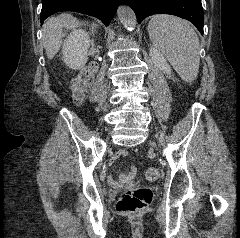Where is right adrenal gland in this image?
I'll use <instances>...</instances> for the list:
<instances>
[{
	"mask_svg": "<svg viewBox=\"0 0 240 238\" xmlns=\"http://www.w3.org/2000/svg\"><path fill=\"white\" fill-rule=\"evenodd\" d=\"M96 27H97L96 25H94V24L92 25V29H95Z\"/></svg>",
	"mask_w": 240,
	"mask_h": 238,
	"instance_id": "1",
	"label": "right adrenal gland"
}]
</instances>
